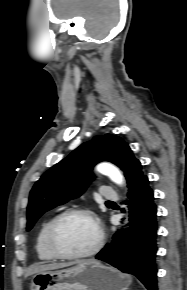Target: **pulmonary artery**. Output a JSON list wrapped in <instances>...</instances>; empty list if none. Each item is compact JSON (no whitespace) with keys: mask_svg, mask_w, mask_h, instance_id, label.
Masks as SVG:
<instances>
[{"mask_svg":"<svg viewBox=\"0 0 187 290\" xmlns=\"http://www.w3.org/2000/svg\"><path fill=\"white\" fill-rule=\"evenodd\" d=\"M101 196L103 199L108 200V201H112V200H117L118 199V195L117 193L112 190L111 188L105 187L102 189L101 191Z\"/></svg>","mask_w":187,"mask_h":290,"instance_id":"pulmonary-artery-1","label":"pulmonary artery"}]
</instances>
